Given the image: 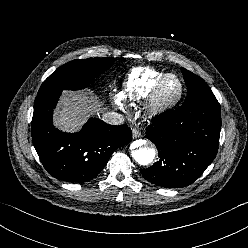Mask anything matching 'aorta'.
<instances>
[{"instance_id": "1", "label": "aorta", "mask_w": 248, "mask_h": 248, "mask_svg": "<svg viewBox=\"0 0 248 248\" xmlns=\"http://www.w3.org/2000/svg\"><path fill=\"white\" fill-rule=\"evenodd\" d=\"M134 144L135 149L131 152L134 160L140 165L150 164L155 158V149L152 144L145 140H137Z\"/></svg>"}]
</instances>
